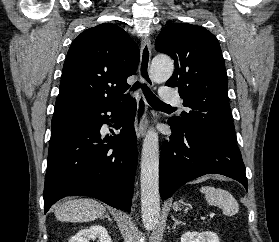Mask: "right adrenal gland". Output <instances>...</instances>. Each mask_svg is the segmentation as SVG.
<instances>
[{
    "label": "right adrenal gland",
    "instance_id": "right-adrenal-gland-1",
    "mask_svg": "<svg viewBox=\"0 0 279 242\" xmlns=\"http://www.w3.org/2000/svg\"><path fill=\"white\" fill-rule=\"evenodd\" d=\"M103 218H107L108 221L112 222V219L110 218L109 214L107 213L105 216H103Z\"/></svg>",
    "mask_w": 279,
    "mask_h": 242
}]
</instances>
